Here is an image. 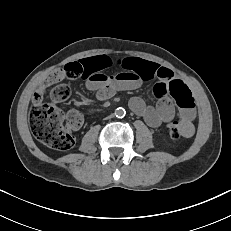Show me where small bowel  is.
<instances>
[{
	"label": "small bowel",
	"instance_id": "small-bowel-1",
	"mask_svg": "<svg viewBox=\"0 0 231 231\" xmlns=\"http://www.w3.org/2000/svg\"><path fill=\"white\" fill-rule=\"evenodd\" d=\"M75 63L82 68L80 76L86 80V87L95 91L100 101L113 97L118 91L137 89L144 82L156 79L153 88V94L157 99L156 105H148L141 98L133 97L129 101L130 109L141 116L150 127H158L175 118L176 111L172 101L174 100L178 107L183 136L191 137L194 134L193 122L196 118L194 98L189 87L177 79L170 69L140 58L113 60L105 55L85 58ZM114 66L119 67L120 71L107 74L106 70ZM64 77L66 75L63 69L44 79L34 94L33 102H42L47 89Z\"/></svg>",
	"mask_w": 231,
	"mask_h": 231
}]
</instances>
